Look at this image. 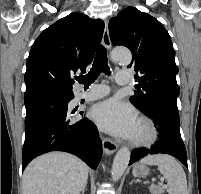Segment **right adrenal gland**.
Segmentation results:
<instances>
[{"label":"right adrenal gland","mask_w":201,"mask_h":194,"mask_svg":"<svg viewBox=\"0 0 201 194\" xmlns=\"http://www.w3.org/2000/svg\"><path fill=\"white\" fill-rule=\"evenodd\" d=\"M85 189H86V185L81 189V194H84Z\"/></svg>","instance_id":"2a0ac1e0"}]
</instances>
